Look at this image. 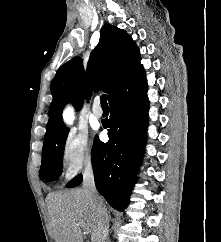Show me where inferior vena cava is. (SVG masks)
Masks as SVG:
<instances>
[{"mask_svg": "<svg viewBox=\"0 0 221 242\" xmlns=\"http://www.w3.org/2000/svg\"><path fill=\"white\" fill-rule=\"evenodd\" d=\"M83 190L86 193L95 214L94 240L105 242L109 232V216L106 206L97 193L94 174L91 166H87L83 175Z\"/></svg>", "mask_w": 221, "mask_h": 242, "instance_id": "inferior-vena-cava-1", "label": "inferior vena cava"}]
</instances>
